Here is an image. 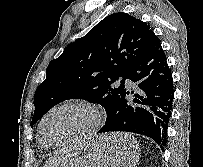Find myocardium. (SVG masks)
I'll return each mask as SVG.
<instances>
[{"label": "myocardium", "mask_w": 203, "mask_h": 167, "mask_svg": "<svg viewBox=\"0 0 203 167\" xmlns=\"http://www.w3.org/2000/svg\"><path fill=\"white\" fill-rule=\"evenodd\" d=\"M67 107H77V108H81L86 110L87 112H89L92 116V123L91 125L84 131H82L81 133L77 134L76 136L67 139L65 141H62L60 143L57 144H52V145H48L44 142L43 140V126L45 124V122L48 120V118L53 115L55 112L63 109V108H67ZM102 125V115L100 113V111L91 103L86 102V101H82V100H72V101H65L62 102L56 106H54L53 108H51L40 120L39 125H38V139L39 142L42 146H45L47 148H59V147H64L73 143H77L80 141H83L89 137H91L92 135H94L99 128Z\"/></svg>", "instance_id": "f54148a6"}]
</instances>
